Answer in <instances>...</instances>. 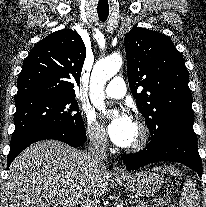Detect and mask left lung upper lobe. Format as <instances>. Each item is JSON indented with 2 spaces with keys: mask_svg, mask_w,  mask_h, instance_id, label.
<instances>
[{
  "mask_svg": "<svg viewBox=\"0 0 206 207\" xmlns=\"http://www.w3.org/2000/svg\"><path fill=\"white\" fill-rule=\"evenodd\" d=\"M124 42L129 86L152 135L148 146L177 130H193L188 70L172 41L159 32L134 28ZM139 87L143 90L137 93Z\"/></svg>",
  "mask_w": 206,
  "mask_h": 207,
  "instance_id": "obj_1",
  "label": "left lung upper lobe"
}]
</instances>
